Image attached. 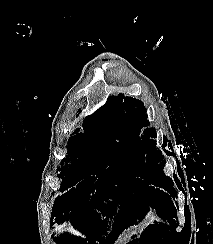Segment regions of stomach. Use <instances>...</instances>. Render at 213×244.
Returning a JSON list of instances; mask_svg holds the SVG:
<instances>
[{"label": "stomach", "mask_w": 213, "mask_h": 244, "mask_svg": "<svg viewBox=\"0 0 213 244\" xmlns=\"http://www.w3.org/2000/svg\"><path fill=\"white\" fill-rule=\"evenodd\" d=\"M128 233H129V232H128ZM130 233H131V232H130ZM128 235H129V234H128ZM126 242H127L126 239H116V240H115V243H116V244H126Z\"/></svg>", "instance_id": "1"}]
</instances>
